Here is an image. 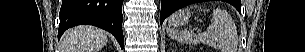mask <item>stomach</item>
<instances>
[{
  "label": "stomach",
  "mask_w": 305,
  "mask_h": 52,
  "mask_svg": "<svg viewBox=\"0 0 305 52\" xmlns=\"http://www.w3.org/2000/svg\"><path fill=\"white\" fill-rule=\"evenodd\" d=\"M197 11L201 12L202 9H198ZM191 16L192 11L190 9H182L171 15L168 19V23L174 27L183 26L189 22Z\"/></svg>",
  "instance_id": "obj_1"
}]
</instances>
